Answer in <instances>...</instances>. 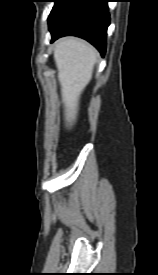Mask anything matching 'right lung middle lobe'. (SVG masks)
<instances>
[{
	"label": "right lung middle lobe",
	"mask_w": 158,
	"mask_h": 275,
	"mask_svg": "<svg viewBox=\"0 0 158 275\" xmlns=\"http://www.w3.org/2000/svg\"><path fill=\"white\" fill-rule=\"evenodd\" d=\"M59 2H60V0H59V1H56L54 7H55ZM54 7H53V8H54Z\"/></svg>",
	"instance_id": "dd1d6c3e"
}]
</instances>
